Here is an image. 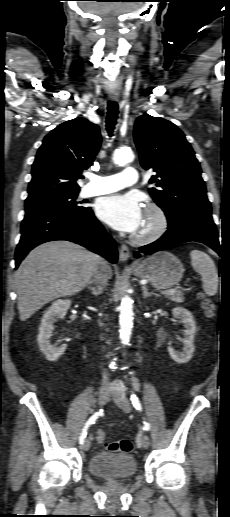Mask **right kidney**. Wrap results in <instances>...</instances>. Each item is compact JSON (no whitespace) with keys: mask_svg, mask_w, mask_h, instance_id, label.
<instances>
[{"mask_svg":"<svg viewBox=\"0 0 230 517\" xmlns=\"http://www.w3.org/2000/svg\"><path fill=\"white\" fill-rule=\"evenodd\" d=\"M70 305V300H57L52 303L42 318L37 342L41 352L49 361H56L66 350V344H63L59 347L51 345L50 337L52 336V332L54 330L53 324L58 319H61L66 315Z\"/></svg>","mask_w":230,"mask_h":517,"instance_id":"1","label":"right kidney"}]
</instances>
